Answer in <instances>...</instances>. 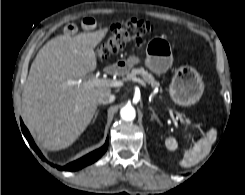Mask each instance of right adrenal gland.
<instances>
[{"instance_id":"1","label":"right adrenal gland","mask_w":245,"mask_h":195,"mask_svg":"<svg viewBox=\"0 0 245 195\" xmlns=\"http://www.w3.org/2000/svg\"><path fill=\"white\" fill-rule=\"evenodd\" d=\"M98 112H99V110L96 111L95 116H94V119H93V122L96 120V118L98 116Z\"/></svg>"}]
</instances>
